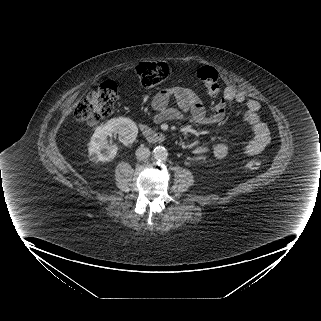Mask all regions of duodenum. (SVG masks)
<instances>
[{"label": "duodenum", "mask_w": 321, "mask_h": 321, "mask_svg": "<svg viewBox=\"0 0 321 321\" xmlns=\"http://www.w3.org/2000/svg\"><path fill=\"white\" fill-rule=\"evenodd\" d=\"M140 130L143 133V135L145 136V138L153 143H161L164 142L165 140V136L163 133L154 130L153 128L145 125V124H141L140 126Z\"/></svg>", "instance_id": "410a0bca"}]
</instances>
